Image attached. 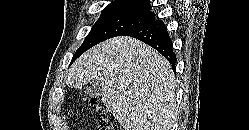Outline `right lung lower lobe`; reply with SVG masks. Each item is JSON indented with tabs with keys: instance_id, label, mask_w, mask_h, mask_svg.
Listing matches in <instances>:
<instances>
[{
	"instance_id": "right-lung-lower-lobe-1",
	"label": "right lung lower lobe",
	"mask_w": 249,
	"mask_h": 130,
	"mask_svg": "<svg viewBox=\"0 0 249 130\" xmlns=\"http://www.w3.org/2000/svg\"><path fill=\"white\" fill-rule=\"evenodd\" d=\"M123 35L137 38L155 48L175 69L176 55L167 28L161 20H154Z\"/></svg>"
}]
</instances>
